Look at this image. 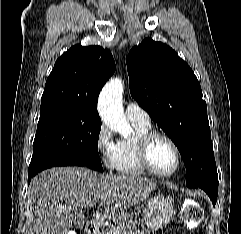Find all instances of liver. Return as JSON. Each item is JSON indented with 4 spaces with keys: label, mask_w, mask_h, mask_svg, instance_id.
Listing matches in <instances>:
<instances>
[{
    "label": "liver",
    "mask_w": 241,
    "mask_h": 234,
    "mask_svg": "<svg viewBox=\"0 0 241 234\" xmlns=\"http://www.w3.org/2000/svg\"><path fill=\"white\" fill-rule=\"evenodd\" d=\"M155 188L150 179L135 175H104L82 167L48 169L34 177L28 188L34 211L31 234H68L72 224L76 225L79 210L102 197L106 198V210L118 219Z\"/></svg>",
    "instance_id": "6515ba94"
}]
</instances>
